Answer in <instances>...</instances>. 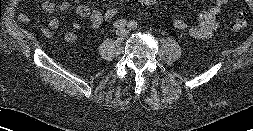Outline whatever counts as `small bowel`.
I'll use <instances>...</instances> for the list:
<instances>
[{"mask_svg": "<svg viewBox=\"0 0 253 131\" xmlns=\"http://www.w3.org/2000/svg\"><path fill=\"white\" fill-rule=\"evenodd\" d=\"M228 3V0H214V3L200 12L198 22L196 25L189 26L188 22L182 18H175L173 26L178 30H188L190 36L197 39H206L212 36L214 31L218 28L217 18L221 13L222 8ZM70 3L62 1L54 3L50 0H45L41 3V8L48 13L65 11L69 9ZM76 14L88 19L90 27L97 30L104 22L103 12L100 10H91L87 5H79L76 8ZM19 20L28 24L30 19L26 13L19 14ZM41 29L46 37H51L53 31H62L63 37L68 42H73L77 37V31L81 29L78 22L72 24L71 29L62 30L61 23L57 18H52L48 25L41 24Z\"/></svg>", "mask_w": 253, "mask_h": 131, "instance_id": "small-bowel-1", "label": "small bowel"}]
</instances>
